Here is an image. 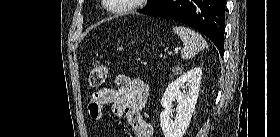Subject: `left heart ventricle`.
<instances>
[{"label": "left heart ventricle", "instance_id": "left-heart-ventricle-1", "mask_svg": "<svg viewBox=\"0 0 280 137\" xmlns=\"http://www.w3.org/2000/svg\"><path fill=\"white\" fill-rule=\"evenodd\" d=\"M114 5H124L129 2V0H112Z\"/></svg>", "mask_w": 280, "mask_h": 137}]
</instances>
